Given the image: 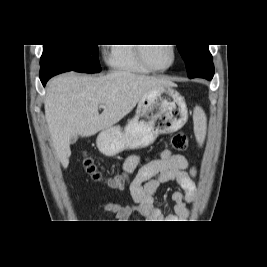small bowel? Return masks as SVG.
I'll use <instances>...</instances> for the list:
<instances>
[{
    "label": "small bowel",
    "mask_w": 267,
    "mask_h": 267,
    "mask_svg": "<svg viewBox=\"0 0 267 267\" xmlns=\"http://www.w3.org/2000/svg\"><path fill=\"white\" fill-rule=\"evenodd\" d=\"M126 177H130L129 191L132 204L107 203L105 211L115 215L118 222H127L133 213L152 222H164L186 219L189 216L187 203L195 196V169H188L186 158L168 150L161 151L158 159L141 164L139 155H130L123 164ZM136 175L131 178L132 174ZM176 181L181 190L172 194L175 202V214L165 215L154 204V195L160 185Z\"/></svg>",
    "instance_id": "1"
}]
</instances>
